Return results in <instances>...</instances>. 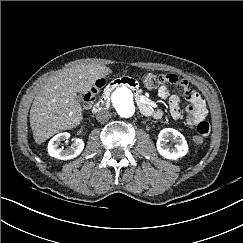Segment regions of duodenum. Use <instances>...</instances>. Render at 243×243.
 I'll return each instance as SVG.
<instances>
[{
    "instance_id": "410a0bca",
    "label": "duodenum",
    "mask_w": 243,
    "mask_h": 243,
    "mask_svg": "<svg viewBox=\"0 0 243 243\" xmlns=\"http://www.w3.org/2000/svg\"><path fill=\"white\" fill-rule=\"evenodd\" d=\"M117 86H126L133 91L135 100L142 114L146 116H153L155 114V110L149 105L146 99L139 94L134 81L129 78H122L111 83L105 90L100 100L94 104L93 112H100L110 105V93Z\"/></svg>"
}]
</instances>
